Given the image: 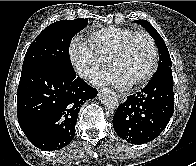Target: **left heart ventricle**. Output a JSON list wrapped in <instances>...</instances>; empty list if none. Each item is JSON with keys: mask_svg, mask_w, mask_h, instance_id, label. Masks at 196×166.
Returning a JSON list of instances; mask_svg holds the SVG:
<instances>
[{"mask_svg": "<svg viewBox=\"0 0 196 166\" xmlns=\"http://www.w3.org/2000/svg\"><path fill=\"white\" fill-rule=\"evenodd\" d=\"M152 62V50L145 36L137 35L129 43L126 53L115 61V68L130 83L142 77Z\"/></svg>", "mask_w": 196, "mask_h": 166, "instance_id": "left-heart-ventricle-1", "label": "left heart ventricle"}]
</instances>
